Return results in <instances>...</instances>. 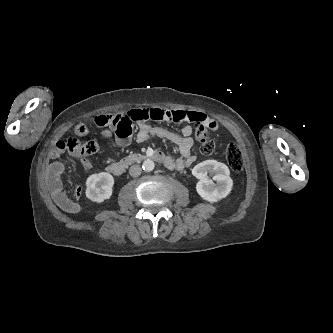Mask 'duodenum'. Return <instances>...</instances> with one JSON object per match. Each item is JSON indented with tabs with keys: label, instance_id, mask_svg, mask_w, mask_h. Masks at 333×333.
I'll list each match as a JSON object with an SVG mask.
<instances>
[{
	"label": "duodenum",
	"instance_id": "1",
	"mask_svg": "<svg viewBox=\"0 0 333 333\" xmlns=\"http://www.w3.org/2000/svg\"><path fill=\"white\" fill-rule=\"evenodd\" d=\"M147 159H152L162 164L167 162V157L161 152L146 153V154H133L127 156L125 159L117 162H112L107 166V171L115 176L124 174L126 169L135 163H140Z\"/></svg>",
	"mask_w": 333,
	"mask_h": 333
}]
</instances>
